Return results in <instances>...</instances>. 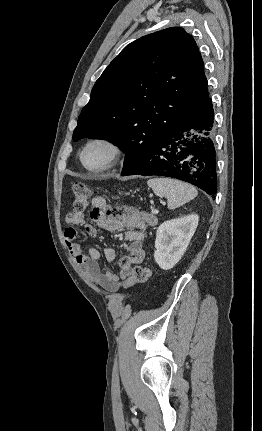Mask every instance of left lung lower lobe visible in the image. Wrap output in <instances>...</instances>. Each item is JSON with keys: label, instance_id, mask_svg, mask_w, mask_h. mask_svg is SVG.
Returning <instances> with one entry per match:
<instances>
[{"label": "left lung lower lobe", "instance_id": "0a47b994", "mask_svg": "<svg viewBox=\"0 0 262 431\" xmlns=\"http://www.w3.org/2000/svg\"><path fill=\"white\" fill-rule=\"evenodd\" d=\"M214 111L207 100L162 137L124 175H158L183 180L209 195L217 191Z\"/></svg>", "mask_w": 262, "mask_h": 431}]
</instances>
